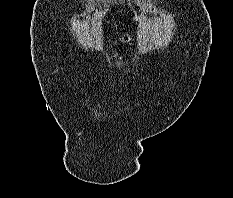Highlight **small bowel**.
<instances>
[{
  "label": "small bowel",
  "mask_w": 233,
  "mask_h": 198,
  "mask_svg": "<svg viewBox=\"0 0 233 198\" xmlns=\"http://www.w3.org/2000/svg\"><path fill=\"white\" fill-rule=\"evenodd\" d=\"M131 40H132V37L130 35H125L122 38V41L125 42V43H129V42H131Z\"/></svg>",
  "instance_id": "small-bowel-1"
}]
</instances>
